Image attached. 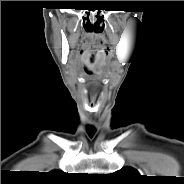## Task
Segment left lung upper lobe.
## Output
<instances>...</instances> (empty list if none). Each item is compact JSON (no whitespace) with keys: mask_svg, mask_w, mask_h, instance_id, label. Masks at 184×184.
I'll return each instance as SVG.
<instances>
[{"mask_svg":"<svg viewBox=\"0 0 184 184\" xmlns=\"http://www.w3.org/2000/svg\"><path fill=\"white\" fill-rule=\"evenodd\" d=\"M114 174H116L117 178L122 181H134L137 180V178L140 176L138 171L131 167H124Z\"/></svg>","mask_w":184,"mask_h":184,"instance_id":"1","label":"left lung upper lobe"}]
</instances>
